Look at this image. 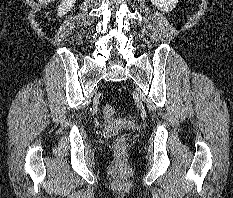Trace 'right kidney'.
<instances>
[{
	"label": "right kidney",
	"mask_w": 233,
	"mask_h": 198,
	"mask_svg": "<svg viewBox=\"0 0 233 198\" xmlns=\"http://www.w3.org/2000/svg\"><path fill=\"white\" fill-rule=\"evenodd\" d=\"M75 2L76 0H62L61 4L58 7V15L63 16L67 14L72 9Z\"/></svg>",
	"instance_id": "ca27d5eb"
}]
</instances>
